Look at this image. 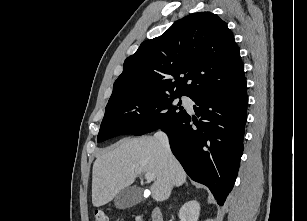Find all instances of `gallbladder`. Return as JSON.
Segmentation results:
<instances>
[{
    "label": "gallbladder",
    "mask_w": 307,
    "mask_h": 221,
    "mask_svg": "<svg viewBox=\"0 0 307 221\" xmlns=\"http://www.w3.org/2000/svg\"><path fill=\"white\" fill-rule=\"evenodd\" d=\"M142 200L141 190L137 187L122 189L114 199V205L118 209L130 208Z\"/></svg>",
    "instance_id": "1"
}]
</instances>
